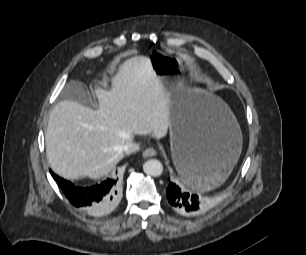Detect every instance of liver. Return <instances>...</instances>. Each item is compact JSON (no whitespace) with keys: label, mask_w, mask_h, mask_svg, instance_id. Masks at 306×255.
<instances>
[{"label":"liver","mask_w":306,"mask_h":255,"mask_svg":"<svg viewBox=\"0 0 306 255\" xmlns=\"http://www.w3.org/2000/svg\"><path fill=\"white\" fill-rule=\"evenodd\" d=\"M99 108L75 100L51 111L45 134L51 169L64 178L108 175L134 135L160 139L170 128L169 96L147 57L124 61L110 91L95 89Z\"/></svg>","instance_id":"obj_1"}]
</instances>
